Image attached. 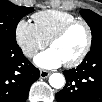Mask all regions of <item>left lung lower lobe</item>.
Masks as SVG:
<instances>
[{
    "label": "left lung lower lobe",
    "mask_w": 102,
    "mask_h": 102,
    "mask_svg": "<svg viewBox=\"0 0 102 102\" xmlns=\"http://www.w3.org/2000/svg\"><path fill=\"white\" fill-rule=\"evenodd\" d=\"M65 87L58 102H102V47L91 49L75 69L64 71Z\"/></svg>",
    "instance_id": "left-lung-lower-lobe-1"
}]
</instances>
